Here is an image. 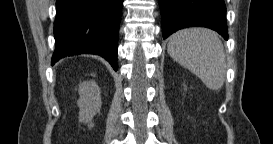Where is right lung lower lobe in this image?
<instances>
[{"mask_svg":"<svg viewBox=\"0 0 273 144\" xmlns=\"http://www.w3.org/2000/svg\"><path fill=\"white\" fill-rule=\"evenodd\" d=\"M122 4L123 0H57L52 64L74 54L93 53L117 70Z\"/></svg>","mask_w":273,"mask_h":144,"instance_id":"1","label":"right lung lower lobe"}]
</instances>
